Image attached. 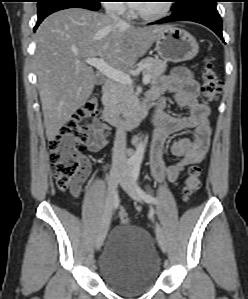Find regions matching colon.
<instances>
[{
  "instance_id": "5ec220e1",
  "label": "colon",
  "mask_w": 248,
  "mask_h": 299,
  "mask_svg": "<svg viewBox=\"0 0 248 299\" xmlns=\"http://www.w3.org/2000/svg\"><path fill=\"white\" fill-rule=\"evenodd\" d=\"M222 89L213 64L207 60L202 69L201 100L203 103L214 101ZM100 106L97 97L91 96L68 120L60 132L49 142L51 171L61 191L77 194L86 176L84 158L81 156L87 141V131L83 122L98 116ZM201 186V169L191 166L188 169L184 186V199L188 200ZM122 225H128L130 219L124 211L118 214Z\"/></svg>"
}]
</instances>
